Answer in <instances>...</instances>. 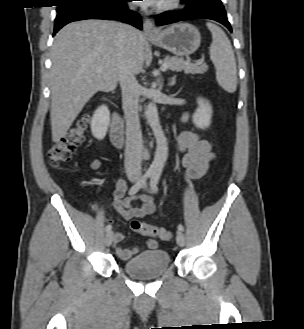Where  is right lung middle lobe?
<instances>
[{"instance_id":"right-lung-middle-lobe-1","label":"right lung middle lobe","mask_w":304,"mask_h":329,"mask_svg":"<svg viewBox=\"0 0 304 329\" xmlns=\"http://www.w3.org/2000/svg\"><path fill=\"white\" fill-rule=\"evenodd\" d=\"M60 4H63V3H71V2H79V1H101V0H59Z\"/></svg>"}]
</instances>
